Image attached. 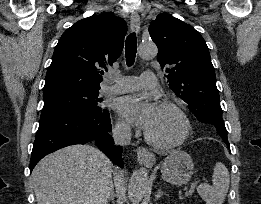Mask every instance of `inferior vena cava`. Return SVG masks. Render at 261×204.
<instances>
[{"label":"inferior vena cava","mask_w":261,"mask_h":204,"mask_svg":"<svg viewBox=\"0 0 261 204\" xmlns=\"http://www.w3.org/2000/svg\"><path fill=\"white\" fill-rule=\"evenodd\" d=\"M113 138L116 144L126 146L131 141L130 128L127 126H120L113 129Z\"/></svg>","instance_id":"inferior-vena-cava-1"}]
</instances>
